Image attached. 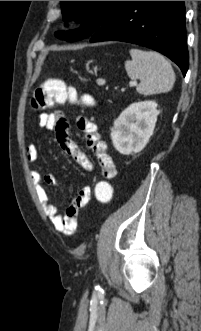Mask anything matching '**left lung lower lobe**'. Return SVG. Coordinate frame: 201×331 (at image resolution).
I'll list each match as a JSON object with an SVG mask.
<instances>
[{
    "label": "left lung lower lobe",
    "mask_w": 201,
    "mask_h": 331,
    "mask_svg": "<svg viewBox=\"0 0 201 331\" xmlns=\"http://www.w3.org/2000/svg\"><path fill=\"white\" fill-rule=\"evenodd\" d=\"M124 41L154 49L185 76L189 66L184 1H120L90 42Z\"/></svg>",
    "instance_id": "obj_1"
}]
</instances>
